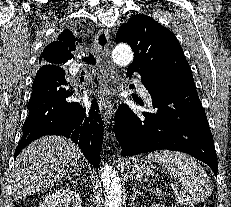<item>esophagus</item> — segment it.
I'll use <instances>...</instances> for the list:
<instances>
[{
  "label": "esophagus",
  "instance_id": "obj_1",
  "mask_svg": "<svg viewBox=\"0 0 231 207\" xmlns=\"http://www.w3.org/2000/svg\"><path fill=\"white\" fill-rule=\"evenodd\" d=\"M95 45L101 65V106L106 120H110L115 112L113 96L115 94V71L110 61V34L107 28H101L96 37Z\"/></svg>",
  "mask_w": 231,
  "mask_h": 207
}]
</instances>
